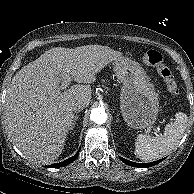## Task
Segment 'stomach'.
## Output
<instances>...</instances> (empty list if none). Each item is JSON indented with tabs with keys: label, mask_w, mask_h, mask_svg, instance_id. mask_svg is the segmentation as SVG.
Instances as JSON below:
<instances>
[{
	"label": "stomach",
	"mask_w": 194,
	"mask_h": 194,
	"mask_svg": "<svg viewBox=\"0 0 194 194\" xmlns=\"http://www.w3.org/2000/svg\"><path fill=\"white\" fill-rule=\"evenodd\" d=\"M113 68L123 84L120 109L125 122L134 129L151 128L159 112V101L144 69L127 57L115 60Z\"/></svg>",
	"instance_id": "obj_1"
}]
</instances>
